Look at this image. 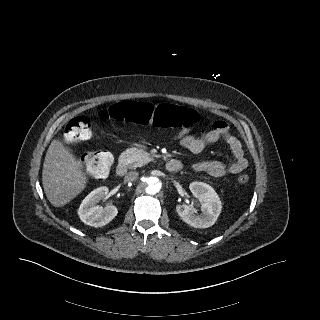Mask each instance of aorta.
Instances as JSON below:
<instances>
[{
    "label": "aorta",
    "instance_id": "obj_1",
    "mask_svg": "<svg viewBox=\"0 0 320 320\" xmlns=\"http://www.w3.org/2000/svg\"><path fill=\"white\" fill-rule=\"evenodd\" d=\"M143 186L149 195L157 194L161 190V184L156 177H146Z\"/></svg>",
    "mask_w": 320,
    "mask_h": 320
}]
</instances>
